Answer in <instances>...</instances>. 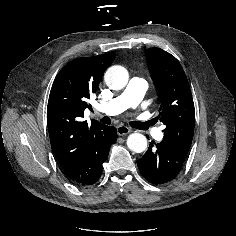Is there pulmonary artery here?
<instances>
[{"label":"pulmonary artery","instance_id":"e3ab8cb5","mask_svg":"<svg viewBox=\"0 0 236 236\" xmlns=\"http://www.w3.org/2000/svg\"><path fill=\"white\" fill-rule=\"evenodd\" d=\"M148 89V83L140 77H133L128 82L124 91L111 101L98 106V110L106 115H117L130 107H135L143 98ZM155 137L160 138L161 134L155 129Z\"/></svg>","mask_w":236,"mask_h":236}]
</instances>
